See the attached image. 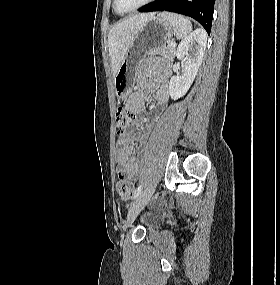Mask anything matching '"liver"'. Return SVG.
<instances>
[{
  "label": "liver",
  "instance_id": "liver-1",
  "mask_svg": "<svg viewBox=\"0 0 280 285\" xmlns=\"http://www.w3.org/2000/svg\"><path fill=\"white\" fill-rule=\"evenodd\" d=\"M155 13L136 14L120 23H117L108 34V49L112 63L113 77L116 76L118 69L126 55L129 47L137 35L140 28Z\"/></svg>",
  "mask_w": 280,
  "mask_h": 285
}]
</instances>
